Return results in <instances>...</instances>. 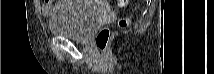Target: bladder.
<instances>
[{"label": "bladder", "mask_w": 214, "mask_h": 74, "mask_svg": "<svg viewBox=\"0 0 214 74\" xmlns=\"http://www.w3.org/2000/svg\"><path fill=\"white\" fill-rule=\"evenodd\" d=\"M71 5L57 8L49 19V30L54 36L85 41L98 24L100 11L91 1H70Z\"/></svg>", "instance_id": "31cf9c89"}]
</instances>
